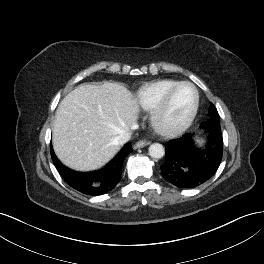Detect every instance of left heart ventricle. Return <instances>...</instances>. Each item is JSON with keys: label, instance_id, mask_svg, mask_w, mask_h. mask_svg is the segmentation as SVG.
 <instances>
[{"label": "left heart ventricle", "instance_id": "b2bd125f", "mask_svg": "<svg viewBox=\"0 0 264 264\" xmlns=\"http://www.w3.org/2000/svg\"><path fill=\"white\" fill-rule=\"evenodd\" d=\"M193 100L194 93L191 87L182 86L177 89L163 116V122L167 125H176L182 122L188 115Z\"/></svg>", "mask_w": 264, "mask_h": 264}]
</instances>
